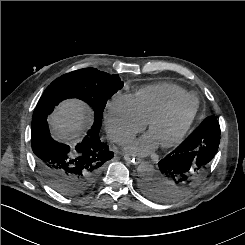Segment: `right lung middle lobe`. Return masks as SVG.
I'll return each mask as SVG.
<instances>
[{"instance_id": "1", "label": "right lung middle lobe", "mask_w": 245, "mask_h": 245, "mask_svg": "<svg viewBox=\"0 0 245 245\" xmlns=\"http://www.w3.org/2000/svg\"><path fill=\"white\" fill-rule=\"evenodd\" d=\"M122 87L123 82L119 75H110L95 68H84L54 80L46 88L38 104L49 103L55 106L64 99H81L94 111V124L90 131L98 133L108 99Z\"/></svg>"}]
</instances>
